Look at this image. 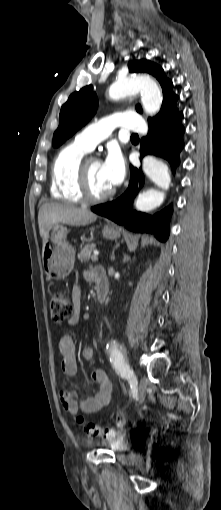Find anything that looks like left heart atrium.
I'll return each instance as SVG.
<instances>
[{"mask_svg":"<svg viewBox=\"0 0 221 510\" xmlns=\"http://www.w3.org/2000/svg\"><path fill=\"white\" fill-rule=\"evenodd\" d=\"M102 174L111 188L118 186L125 176V163L121 152L111 147L101 163Z\"/></svg>","mask_w":221,"mask_h":510,"instance_id":"1","label":"left heart atrium"}]
</instances>
